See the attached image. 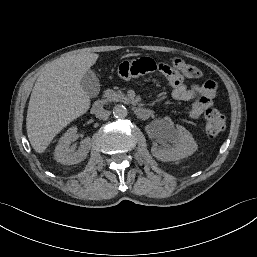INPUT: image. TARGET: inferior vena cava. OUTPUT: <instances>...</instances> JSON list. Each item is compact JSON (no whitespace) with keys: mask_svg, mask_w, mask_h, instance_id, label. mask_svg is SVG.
<instances>
[{"mask_svg":"<svg viewBox=\"0 0 257 257\" xmlns=\"http://www.w3.org/2000/svg\"><path fill=\"white\" fill-rule=\"evenodd\" d=\"M111 112L108 110H99L96 113V117L101 119V120H107L110 116Z\"/></svg>","mask_w":257,"mask_h":257,"instance_id":"1","label":"inferior vena cava"}]
</instances>
